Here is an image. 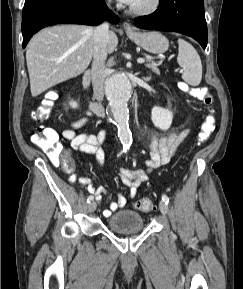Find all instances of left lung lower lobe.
Returning a JSON list of instances; mask_svg holds the SVG:
<instances>
[{
    "mask_svg": "<svg viewBox=\"0 0 243 289\" xmlns=\"http://www.w3.org/2000/svg\"><path fill=\"white\" fill-rule=\"evenodd\" d=\"M137 27L159 31H174L191 36L205 49L207 24L204 0H160L158 9L134 20Z\"/></svg>",
    "mask_w": 243,
    "mask_h": 289,
    "instance_id": "1",
    "label": "left lung lower lobe"
}]
</instances>
